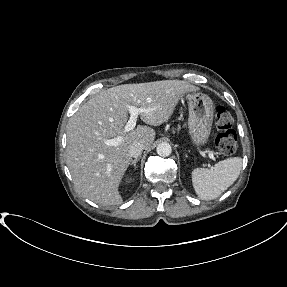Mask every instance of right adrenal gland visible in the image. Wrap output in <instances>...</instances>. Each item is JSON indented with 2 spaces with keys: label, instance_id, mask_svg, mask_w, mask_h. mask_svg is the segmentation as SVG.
I'll list each match as a JSON object with an SVG mask.
<instances>
[{
  "label": "right adrenal gland",
  "instance_id": "2a0ac1e0",
  "mask_svg": "<svg viewBox=\"0 0 287 287\" xmlns=\"http://www.w3.org/2000/svg\"><path fill=\"white\" fill-rule=\"evenodd\" d=\"M140 160V157H138V158H135L134 160H132L131 162H130V166H134V168L136 169V163L138 162Z\"/></svg>",
  "mask_w": 287,
  "mask_h": 287
}]
</instances>
